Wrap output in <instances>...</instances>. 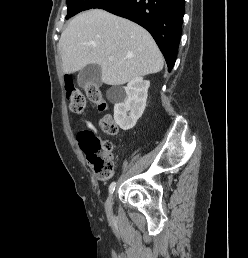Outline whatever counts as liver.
<instances>
[{"label":"liver","instance_id":"obj_1","mask_svg":"<svg viewBox=\"0 0 248 258\" xmlns=\"http://www.w3.org/2000/svg\"><path fill=\"white\" fill-rule=\"evenodd\" d=\"M58 48L67 74L98 64L102 82L113 86L157 73L164 65L158 46L144 28L101 9L74 17L62 32Z\"/></svg>","mask_w":248,"mask_h":258}]
</instances>
